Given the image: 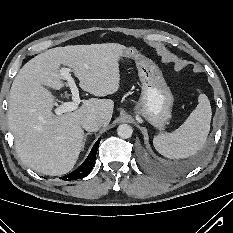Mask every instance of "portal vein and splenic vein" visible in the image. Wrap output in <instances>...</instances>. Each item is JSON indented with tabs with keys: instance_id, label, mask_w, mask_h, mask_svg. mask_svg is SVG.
Here are the masks:
<instances>
[{
	"instance_id": "18ae733b",
	"label": "portal vein and splenic vein",
	"mask_w": 233,
	"mask_h": 233,
	"mask_svg": "<svg viewBox=\"0 0 233 233\" xmlns=\"http://www.w3.org/2000/svg\"><path fill=\"white\" fill-rule=\"evenodd\" d=\"M69 71H70L69 68H61L60 75L61 77L67 80L68 85L72 92L73 101L64 102L61 105H59L55 110L56 115H62L63 113L74 111L78 108V105L80 103L78 88L76 86L74 79L71 77V74L69 73Z\"/></svg>"
}]
</instances>
